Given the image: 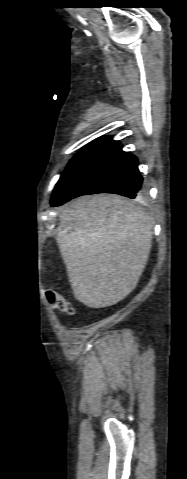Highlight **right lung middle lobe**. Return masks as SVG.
I'll list each match as a JSON object with an SVG mask.
<instances>
[{"label":"right lung middle lobe","mask_w":187,"mask_h":479,"mask_svg":"<svg viewBox=\"0 0 187 479\" xmlns=\"http://www.w3.org/2000/svg\"><path fill=\"white\" fill-rule=\"evenodd\" d=\"M116 147H118V143L112 140L110 136L96 139L84 146L71 159L61 175L52 194L51 203L56 201L74 180Z\"/></svg>","instance_id":"1"}]
</instances>
